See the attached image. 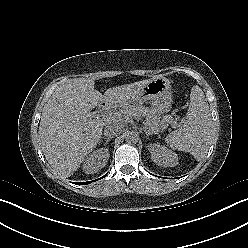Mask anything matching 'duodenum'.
I'll list each match as a JSON object with an SVG mask.
<instances>
[{
  "label": "duodenum",
  "instance_id": "obj_1",
  "mask_svg": "<svg viewBox=\"0 0 248 248\" xmlns=\"http://www.w3.org/2000/svg\"><path fill=\"white\" fill-rule=\"evenodd\" d=\"M109 107H110V104L107 103V102H104V103H102V104L100 105L99 110H100V111H106V110H108Z\"/></svg>",
  "mask_w": 248,
  "mask_h": 248
}]
</instances>
